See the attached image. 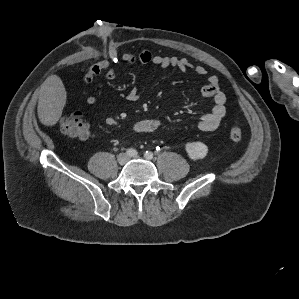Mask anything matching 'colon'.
<instances>
[{
  "instance_id": "obj_1",
  "label": "colon",
  "mask_w": 299,
  "mask_h": 299,
  "mask_svg": "<svg viewBox=\"0 0 299 299\" xmlns=\"http://www.w3.org/2000/svg\"><path fill=\"white\" fill-rule=\"evenodd\" d=\"M60 129L63 134L75 139H87L91 134L90 126L83 119L80 112H74L62 117ZM242 136L243 132L239 124H235L228 134L231 141H239L242 139Z\"/></svg>"
}]
</instances>
